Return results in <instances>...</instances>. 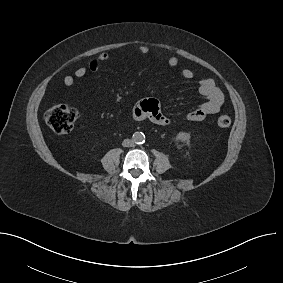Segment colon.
I'll list each match as a JSON object with an SVG mask.
<instances>
[{"mask_svg": "<svg viewBox=\"0 0 283 283\" xmlns=\"http://www.w3.org/2000/svg\"><path fill=\"white\" fill-rule=\"evenodd\" d=\"M77 119V111L67 104H55L45 111V120L50 128L58 134L69 133ZM217 124L226 128L231 125V118L228 115H221Z\"/></svg>", "mask_w": 283, "mask_h": 283, "instance_id": "colon-1", "label": "colon"}]
</instances>
